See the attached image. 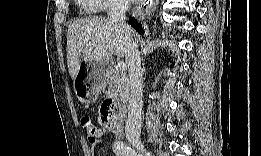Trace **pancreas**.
Masks as SVG:
<instances>
[{
    "label": "pancreas",
    "instance_id": "1",
    "mask_svg": "<svg viewBox=\"0 0 261 156\" xmlns=\"http://www.w3.org/2000/svg\"><path fill=\"white\" fill-rule=\"evenodd\" d=\"M106 78L112 93H114L120 101L127 102L129 97V82L126 71L109 67L106 72Z\"/></svg>",
    "mask_w": 261,
    "mask_h": 156
}]
</instances>
